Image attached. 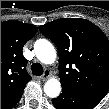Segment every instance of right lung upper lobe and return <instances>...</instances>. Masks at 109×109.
I'll return each instance as SVG.
<instances>
[{
  "instance_id": "1",
  "label": "right lung upper lobe",
  "mask_w": 109,
  "mask_h": 109,
  "mask_svg": "<svg viewBox=\"0 0 109 109\" xmlns=\"http://www.w3.org/2000/svg\"><path fill=\"white\" fill-rule=\"evenodd\" d=\"M37 33L34 25L17 20L1 22V101L31 80L23 57L24 44Z\"/></svg>"
}]
</instances>
